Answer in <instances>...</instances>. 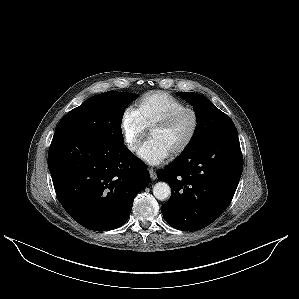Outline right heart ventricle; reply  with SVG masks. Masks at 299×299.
<instances>
[{
  "label": "right heart ventricle",
  "instance_id": "e07e8e85",
  "mask_svg": "<svg viewBox=\"0 0 299 299\" xmlns=\"http://www.w3.org/2000/svg\"><path fill=\"white\" fill-rule=\"evenodd\" d=\"M187 108V105L164 91H152L144 94L136 104V111L146 128H151L165 117Z\"/></svg>",
  "mask_w": 299,
  "mask_h": 299
}]
</instances>
